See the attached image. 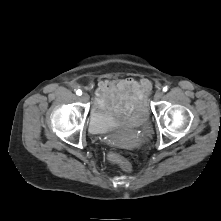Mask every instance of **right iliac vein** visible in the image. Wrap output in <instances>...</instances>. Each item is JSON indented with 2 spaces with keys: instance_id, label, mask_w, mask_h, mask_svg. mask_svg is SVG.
<instances>
[{
  "instance_id": "obj_1",
  "label": "right iliac vein",
  "mask_w": 221,
  "mask_h": 221,
  "mask_svg": "<svg viewBox=\"0 0 221 221\" xmlns=\"http://www.w3.org/2000/svg\"><path fill=\"white\" fill-rule=\"evenodd\" d=\"M81 99H82L83 102H88V100H89V95H88L87 93H83V94L81 95Z\"/></svg>"
}]
</instances>
